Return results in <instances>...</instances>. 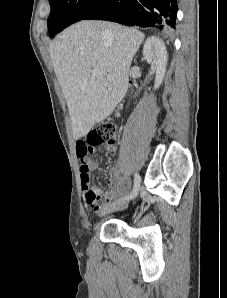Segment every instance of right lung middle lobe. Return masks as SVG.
Segmentation results:
<instances>
[{"label": "right lung middle lobe", "instance_id": "dd1d6c3e", "mask_svg": "<svg viewBox=\"0 0 227 298\" xmlns=\"http://www.w3.org/2000/svg\"><path fill=\"white\" fill-rule=\"evenodd\" d=\"M105 0H49L51 13L48 18L50 37L69 25L84 19Z\"/></svg>", "mask_w": 227, "mask_h": 298}]
</instances>
